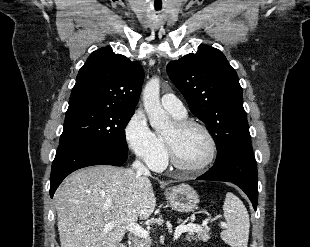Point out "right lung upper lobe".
I'll use <instances>...</instances> for the list:
<instances>
[{
    "mask_svg": "<svg viewBox=\"0 0 310 247\" xmlns=\"http://www.w3.org/2000/svg\"><path fill=\"white\" fill-rule=\"evenodd\" d=\"M144 80L142 66L111 48L91 53L79 70L68 109H114L135 112Z\"/></svg>",
    "mask_w": 310,
    "mask_h": 247,
    "instance_id": "1",
    "label": "right lung upper lobe"
}]
</instances>
